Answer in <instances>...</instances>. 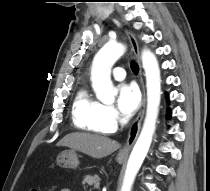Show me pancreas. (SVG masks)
<instances>
[{"label": "pancreas", "instance_id": "pancreas-1", "mask_svg": "<svg viewBox=\"0 0 210 191\" xmlns=\"http://www.w3.org/2000/svg\"><path fill=\"white\" fill-rule=\"evenodd\" d=\"M82 184L83 185L87 184V186L92 187L93 189H98L100 185V178L98 175L94 176L87 175L84 177Z\"/></svg>", "mask_w": 210, "mask_h": 191}]
</instances>
